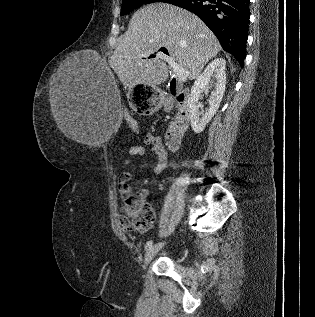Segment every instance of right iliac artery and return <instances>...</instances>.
<instances>
[{"label": "right iliac artery", "mask_w": 315, "mask_h": 317, "mask_svg": "<svg viewBox=\"0 0 315 317\" xmlns=\"http://www.w3.org/2000/svg\"><path fill=\"white\" fill-rule=\"evenodd\" d=\"M153 241H148L145 245V249H148L152 246Z\"/></svg>", "instance_id": "obj_1"}]
</instances>
